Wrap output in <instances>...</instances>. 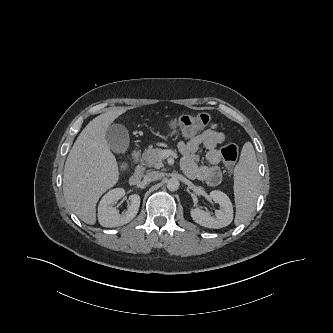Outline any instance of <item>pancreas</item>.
Masks as SVG:
<instances>
[{
    "label": "pancreas",
    "instance_id": "1",
    "mask_svg": "<svg viewBox=\"0 0 333 333\" xmlns=\"http://www.w3.org/2000/svg\"><path fill=\"white\" fill-rule=\"evenodd\" d=\"M161 153L162 150L158 148H149L145 150L143 153V160L145 161V165L149 167H155L157 169L161 168L163 166Z\"/></svg>",
    "mask_w": 333,
    "mask_h": 333
}]
</instances>
